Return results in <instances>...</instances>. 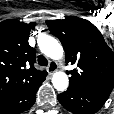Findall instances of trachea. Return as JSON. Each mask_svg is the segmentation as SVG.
Wrapping results in <instances>:
<instances>
[{"instance_id":"obj_1","label":"trachea","mask_w":114,"mask_h":114,"mask_svg":"<svg viewBox=\"0 0 114 114\" xmlns=\"http://www.w3.org/2000/svg\"><path fill=\"white\" fill-rule=\"evenodd\" d=\"M38 64L40 66H47L48 65V60L43 55H39L38 56Z\"/></svg>"}]
</instances>
